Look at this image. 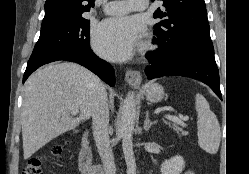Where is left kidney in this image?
Returning a JSON list of instances; mask_svg holds the SVG:
<instances>
[{
  "label": "left kidney",
  "mask_w": 249,
  "mask_h": 174,
  "mask_svg": "<svg viewBox=\"0 0 249 174\" xmlns=\"http://www.w3.org/2000/svg\"><path fill=\"white\" fill-rule=\"evenodd\" d=\"M184 159L181 156H174L162 163L161 174H180L184 169Z\"/></svg>",
  "instance_id": "obj_1"
}]
</instances>
